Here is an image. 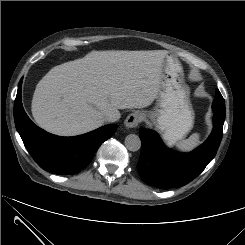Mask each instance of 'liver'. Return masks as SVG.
Here are the masks:
<instances>
[{"mask_svg":"<svg viewBox=\"0 0 245 245\" xmlns=\"http://www.w3.org/2000/svg\"><path fill=\"white\" fill-rule=\"evenodd\" d=\"M167 54L91 51L55 66L35 88L32 116L48 132L75 136L101 127L109 111L148 107L159 96Z\"/></svg>","mask_w":245,"mask_h":245,"instance_id":"obj_1","label":"liver"}]
</instances>
